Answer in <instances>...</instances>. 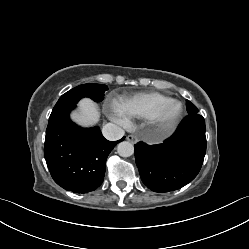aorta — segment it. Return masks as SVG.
<instances>
[{
  "label": "aorta",
  "instance_id": "obj_1",
  "mask_svg": "<svg viewBox=\"0 0 249 249\" xmlns=\"http://www.w3.org/2000/svg\"><path fill=\"white\" fill-rule=\"evenodd\" d=\"M117 152L122 157H129L134 153V146L128 141L120 142L117 145Z\"/></svg>",
  "mask_w": 249,
  "mask_h": 249
}]
</instances>
